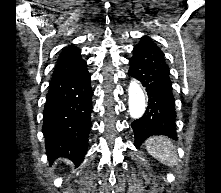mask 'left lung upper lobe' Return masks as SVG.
<instances>
[{
  "label": "left lung upper lobe",
  "mask_w": 221,
  "mask_h": 193,
  "mask_svg": "<svg viewBox=\"0 0 221 193\" xmlns=\"http://www.w3.org/2000/svg\"><path fill=\"white\" fill-rule=\"evenodd\" d=\"M141 41H147V42H150V43H152V44H155L154 41H153L151 38H149L148 36L142 37V38H141ZM155 45H156V44H155Z\"/></svg>",
  "instance_id": "obj_1"
}]
</instances>
